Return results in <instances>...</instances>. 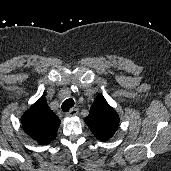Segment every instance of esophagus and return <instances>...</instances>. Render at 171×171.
Segmentation results:
<instances>
[{"mask_svg":"<svg viewBox=\"0 0 171 171\" xmlns=\"http://www.w3.org/2000/svg\"><path fill=\"white\" fill-rule=\"evenodd\" d=\"M78 114L77 109H71L69 113L66 114V116H76Z\"/></svg>","mask_w":171,"mask_h":171,"instance_id":"1","label":"esophagus"}]
</instances>
